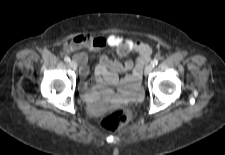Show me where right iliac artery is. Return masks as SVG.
I'll list each match as a JSON object with an SVG mask.
<instances>
[{
	"label": "right iliac artery",
	"instance_id": "obj_1",
	"mask_svg": "<svg viewBox=\"0 0 225 155\" xmlns=\"http://www.w3.org/2000/svg\"><path fill=\"white\" fill-rule=\"evenodd\" d=\"M64 61H65V62H70V58H69L68 56H65V57H64Z\"/></svg>",
	"mask_w": 225,
	"mask_h": 155
}]
</instances>
